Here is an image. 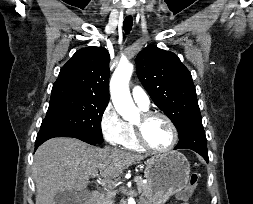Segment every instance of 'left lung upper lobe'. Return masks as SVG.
<instances>
[{"instance_id": "5c2ea615", "label": "left lung upper lobe", "mask_w": 253, "mask_h": 204, "mask_svg": "<svg viewBox=\"0 0 253 204\" xmlns=\"http://www.w3.org/2000/svg\"><path fill=\"white\" fill-rule=\"evenodd\" d=\"M136 70L144 88L179 135L190 121L201 117L191 73L177 55L149 45L137 55Z\"/></svg>"}]
</instances>
